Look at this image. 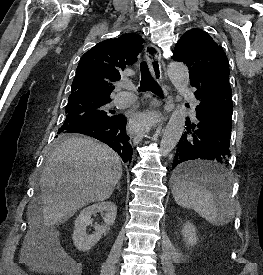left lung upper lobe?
<instances>
[{"instance_id":"left-lung-upper-lobe-1","label":"left lung upper lobe","mask_w":263,"mask_h":275,"mask_svg":"<svg viewBox=\"0 0 263 275\" xmlns=\"http://www.w3.org/2000/svg\"><path fill=\"white\" fill-rule=\"evenodd\" d=\"M172 58L189 68L190 79L211 82L229 78V62L220 45L200 29L185 32L176 44Z\"/></svg>"}]
</instances>
